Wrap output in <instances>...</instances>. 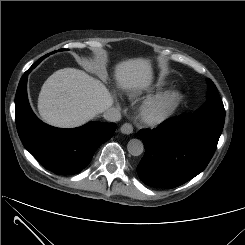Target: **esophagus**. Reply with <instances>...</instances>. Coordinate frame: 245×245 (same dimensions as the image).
<instances>
[{
  "label": "esophagus",
  "mask_w": 245,
  "mask_h": 245,
  "mask_svg": "<svg viewBox=\"0 0 245 245\" xmlns=\"http://www.w3.org/2000/svg\"><path fill=\"white\" fill-rule=\"evenodd\" d=\"M120 131L123 133V134H131L133 132V126L131 123H125L121 126L120 128Z\"/></svg>",
  "instance_id": "obj_1"
}]
</instances>
